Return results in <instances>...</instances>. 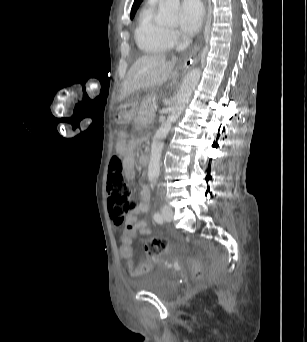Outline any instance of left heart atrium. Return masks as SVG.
Listing matches in <instances>:
<instances>
[{
	"label": "left heart atrium",
	"instance_id": "1",
	"mask_svg": "<svg viewBox=\"0 0 307 342\" xmlns=\"http://www.w3.org/2000/svg\"><path fill=\"white\" fill-rule=\"evenodd\" d=\"M181 14L179 38L183 43L187 44L201 28L204 9L199 1H185L181 6Z\"/></svg>",
	"mask_w": 307,
	"mask_h": 342
}]
</instances>
